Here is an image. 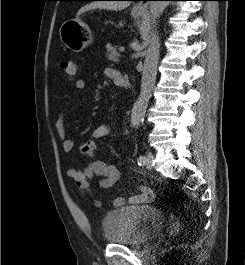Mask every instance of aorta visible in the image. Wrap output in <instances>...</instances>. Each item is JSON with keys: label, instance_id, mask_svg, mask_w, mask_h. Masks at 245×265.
Returning a JSON list of instances; mask_svg holds the SVG:
<instances>
[{"label": "aorta", "instance_id": "obj_1", "mask_svg": "<svg viewBox=\"0 0 245 265\" xmlns=\"http://www.w3.org/2000/svg\"><path fill=\"white\" fill-rule=\"evenodd\" d=\"M168 1H150L149 11L150 19L155 27L156 20L161 16L165 8L168 6ZM159 37L155 30H152L149 38V46L145 52V60L141 78V89L138 99L133 105L131 112V125L138 127L143 121L148 103L152 97V90L156 81L157 64L159 60Z\"/></svg>", "mask_w": 245, "mask_h": 265}]
</instances>
